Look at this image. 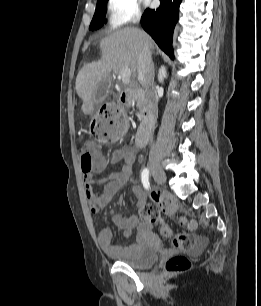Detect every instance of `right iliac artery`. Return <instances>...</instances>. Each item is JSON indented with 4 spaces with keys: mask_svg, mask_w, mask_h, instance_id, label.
<instances>
[{
    "mask_svg": "<svg viewBox=\"0 0 261 306\" xmlns=\"http://www.w3.org/2000/svg\"><path fill=\"white\" fill-rule=\"evenodd\" d=\"M141 181L146 190L150 189V183H149V170L147 168L143 169L141 173Z\"/></svg>",
    "mask_w": 261,
    "mask_h": 306,
    "instance_id": "obj_1",
    "label": "right iliac artery"
}]
</instances>
